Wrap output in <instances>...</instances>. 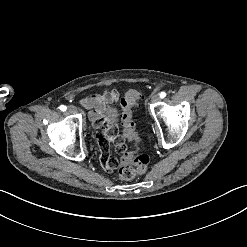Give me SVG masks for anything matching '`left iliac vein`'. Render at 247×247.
<instances>
[{"mask_svg": "<svg viewBox=\"0 0 247 247\" xmlns=\"http://www.w3.org/2000/svg\"><path fill=\"white\" fill-rule=\"evenodd\" d=\"M159 100H160L159 94L155 93V94H152V95H151L150 101H151L152 103L158 102Z\"/></svg>", "mask_w": 247, "mask_h": 247, "instance_id": "4c4485c4", "label": "left iliac vein"}]
</instances>
